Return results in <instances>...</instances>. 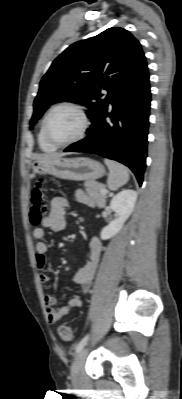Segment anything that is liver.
<instances>
[{"label":"liver","mask_w":182,"mask_h":399,"mask_svg":"<svg viewBox=\"0 0 182 399\" xmlns=\"http://www.w3.org/2000/svg\"><path fill=\"white\" fill-rule=\"evenodd\" d=\"M48 158H53V157H48V156H46V157H44V158H41V159H48Z\"/></svg>","instance_id":"liver-1"}]
</instances>
